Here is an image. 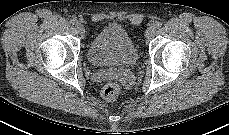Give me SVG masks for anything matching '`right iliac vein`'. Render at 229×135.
Masks as SVG:
<instances>
[{
	"label": "right iliac vein",
	"instance_id": "63e3f726",
	"mask_svg": "<svg viewBox=\"0 0 229 135\" xmlns=\"http://www.w3.org/2000/svg\"><path fill=\"white\" fill-rule=\"evenodd\" d=\"M76 30L79 34H83L85 32V27L83 24L78 23L76 26Z\"/></svg>",
	"mask_w": 229,
	"mask_h": 135
}]
</instances>
